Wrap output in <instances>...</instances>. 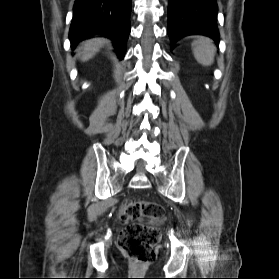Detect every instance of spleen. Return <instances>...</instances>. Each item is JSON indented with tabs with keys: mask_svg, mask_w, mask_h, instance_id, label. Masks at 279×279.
Wrapping results in <instances>:
<instances>
[{
	"mask_svg": "<svg viewBox=\"0 0 279 279\" xmlns=\"http://www.w3.org/2000/svg\"><path fill=\"white\" fill-rule=\"evenodd\" d=\"M192 51L198 63L203 66H210L213 64L216 46L210 38L198 37L192 42Z\"/></svg>",
	"mask_w": 279,
	"mask_h": 279,
	"instance_id": "3e777b00",
	"label": "spleen"
}]
</instances>
